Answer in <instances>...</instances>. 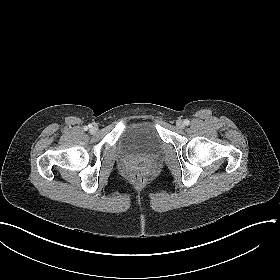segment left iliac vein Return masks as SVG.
Returning <instances> with one entry per match:
<instances>
[{
    "instance_id": "left-iliac-vein-1",
    "label": "left iliac vein",
    "mask_w": 280,
    "mask_h": 280,
    "mask_svg": "<svg viewBox=\"0 0 280 280\" xmlns=\"http://www.w3.org/2000/svg\"><path fill=\"white\" fill-rule=\"evenodd\" d=\"M176 126L179 128V129H182L184 127V123L181 121V120H178L176 122Z\"/></svg>"
}]
</instances>
